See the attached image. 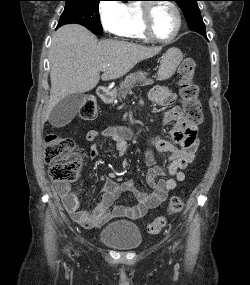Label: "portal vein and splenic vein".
Here are the masks:
<instances>
[{"instance_id": "18ae733b", "label": "portal vein and splenic vein", "mask_w": 250, "mask_h": 285, "mask_svg": "<svg viewBox=\"0 0 250 285\" xmlns=\"http://www.w3.org/2000/svg\"><path fill=\"white\" fill-rule=\"evenodd\" d=\"M108 67H109V64L106 65V66H104V67H102V68H101V71H106Z\"/></svg>"}]
</instances>
